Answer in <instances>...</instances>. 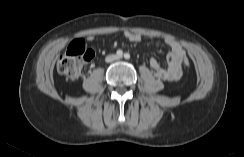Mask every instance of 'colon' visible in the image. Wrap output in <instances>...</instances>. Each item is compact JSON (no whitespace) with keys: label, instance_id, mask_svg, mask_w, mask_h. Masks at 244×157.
Masks as SVG:
<instances>
[{"label":"colon","instance_id":"colon-1","mask_svg":"<svg viewBox=\"0 0 244 157\" xmlns=\"http://www.w3.org/2000/svg\"><path fill=\"white\" fill-rule=\"evenodd\" d=\"M94 57L93 50L87 48L85 42L81 39L74 40L66 52L57 61V70L60 74L69 79H78L81 75L85 63ZM183 64L189 67L191 60L185 56Z\"/></svg>","mask_w":244,"mask_h":157}]
</instances>
